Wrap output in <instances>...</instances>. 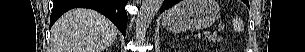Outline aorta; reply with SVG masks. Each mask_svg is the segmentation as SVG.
<instances>
[{
	"instance_id": "762f6f07",
	"label": "aorta",
	"mask_w": 305,
	"mask_h": 52,
	"mask_svg": "<svg viewBox=\"0 0 305 52\" xmlns=\"http://www.w3.org/2000/svg\"><path fill=\"white\" fill-rule=\"evenodd\" d=\"M163 0H143L136 18V37L143 40L145 33L155 14L162 6Z\"/></svg>"
}]
</instances>
